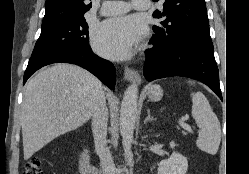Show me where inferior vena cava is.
Returning <instances> with one entry per match:
<instances>
[{
	"instance_id": "1",
	"label": "inferior vena cava",
	"mask_w": 249,
	"mask_h": 174,
	"mask_svg": "<svg viewBox=\"0 0 249 174\" xmlns=\"http://www.w3.org/2000/svg\"><path fill=\"white\" fill-rule=\"evenodd\" d=\"M108 123V109L104 92L96 97L92 113V131L95 149L100 157L103 174H115V165L112 155L106 144Z\"/></svg>"
}]
</instances>
